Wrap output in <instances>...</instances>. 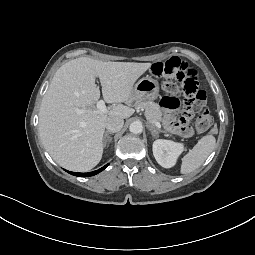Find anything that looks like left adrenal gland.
Here are the masks:
<instances>
[{
	"instance_id": "1",
	"label": "left adrenal gland",
	"mask_w": 255,
	"mask_h": 255,
	"mask_svg": "<svg viewBox=\"0 0 255 255\" xmlns=\"http://www.w3.org/2000/svg\"><path fill=\"white\" fill-rule=\"evenodd\" d=\"M148 128H149L150 130H152V135H153L154 137H157V136H158V133L161 132L160 130L153 129V128H152L151 126H149V125H148Z\"/></svg>"
}]
</instances>
